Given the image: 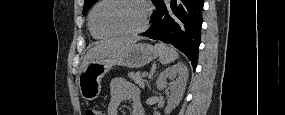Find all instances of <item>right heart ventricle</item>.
<instances>
[{"label": "right heart ventricle", "instance_id": "right-heart-ventricle-1", "mask_svg": "<svg viewBox=\"0 0 285 115\" xmlns=\"http://www.w3.org/2000/svg\"><path fill=\"white\" fill-rule=\"evenodd\" d=\"M89 31H90V33H91V35H92V37H93L94 39L101 40V39H107V38L110 37V36H105V35H102V34L97 33V32L92 28V26H91V24H90V20H89Z\"/></svg>", "mask_w": 285, "mask_h": 115}]
</instances>
